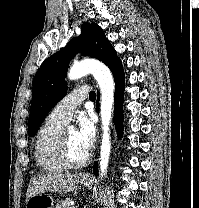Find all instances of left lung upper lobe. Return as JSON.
<instances>
[{
  "label": "left lung upper lobe",
  "mask_w": 199,
  "mask_h": 208,
  "mask_svg": "<svg viewBox=\"0 0 199 208\" xmlns=\"http://www.w3.org/2000/svg\"><path fill=\"white\" fill-rule=\"evenodd\" d=\"M78 52L101 60L109 68L120 61L103 30L95 23H84L80 36L71 39L65 48L47 58L33 79L29 136L36 134L49 111L66 95L65 77L69 60Z\"/></svg>",
  "instance_id": "1"
}]
</instances>
